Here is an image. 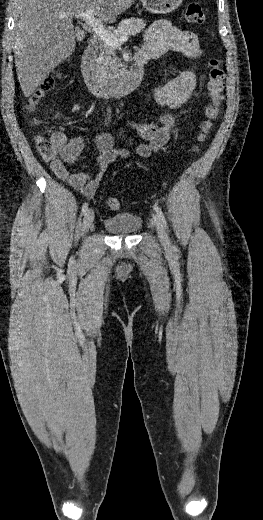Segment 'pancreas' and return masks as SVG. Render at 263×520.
<instances>
[{
  "mask_svg": "<svg viewBox=\"0 0 263 520\" xmlns=\"http://www.w3.org/2000/svg\"><path fill=\"white\" fill-rule=\"evenodd\" d=\"M145 25L142 19L131 17L122 20L112 34L117 38L125 34L136 35ZM95 61L98 71L106 79L117 77L119 68L122 67L120 59L116 56V48L108 46L104 41L100 42V54Z\"/></svg>",
  "mask_w": 263,
  "mask_h": 520,
  "instance_id": "1",
  "label": "pancreas"
}]
</instances>
